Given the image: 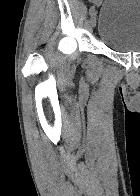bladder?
<instances>
[{"label":"bladder","mask_w":140,"mask_h":196,"mask_svg":"<svg viewBox=\"0 0 140 196\" xmlns=\"http://www.w3.org/2000/svg\"><path fill=\"white\" fill-rule=\"evenodd\" d=\"M98 36L112 51L140 53V0H105Z\"/></svg>","instance_id":"bladder-1"}]
</instances>
